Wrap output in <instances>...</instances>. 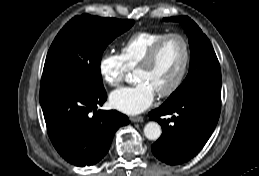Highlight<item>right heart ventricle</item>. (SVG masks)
Masks as SVG:
<instances>
[{
    "label": "right heart ventricle",
    "mask_w": 259,
    "mask_h": 176,
    "mask_svg": "<svg viewBox=\"0 0 259 176\" xmlns=\"http://www.w3.org/2000/svg\"><path fill=\"white\" fill-rule=\"evenodd\" d=\"M165 34L164 31H139L129 36L120 50L126 67L129 70L136 68L151 47Z\"/></svg>",
    "instance_id": "obj_1"
}]
</instances>
